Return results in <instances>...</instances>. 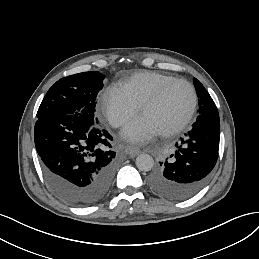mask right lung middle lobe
I'll list each match as a JSON object with an SVG mask.
<instances>
[{
	"label": "right lung middle lobe",
	"instance_id": "1",
	"mask_svg": "<svg viewBox=\"0 0 259 259\" xmlns=\"http://www.w3.org/2000/svg\"><path fill=\"white\" fill-rule=\"evenodd\" d=\"M104 78L101 73L91 71L60 79L53 84L42 100L37 118L56 114H75L92 123H98L94 113L96 98L103 88Z\"/></svg>",
	"mask_w": 259,
	"mask_h": 259
}]
</instances>
